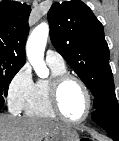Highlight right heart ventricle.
<instances>
[{
	"instance_id": "e07e8e85",
	"label": "right heart ventricle",
	"mask_w": 119,
	"mask_h": 141,
	"mask_svg": "<svg viewBox=\"0 0 119 141\" xmlns=\"http://www.w3.org/2000/svg\"><path fill=\"white\" fill-rule=\"evenodd\" d=\"M51 69V77L39 79L34 83V88L30 99L25 108V115L34 118L54 119L56 114L53 112L48 96V89L51 79L54 76L67 73L65 65L59 66L48 63Z\"/></svg>"
}]
</instances>
